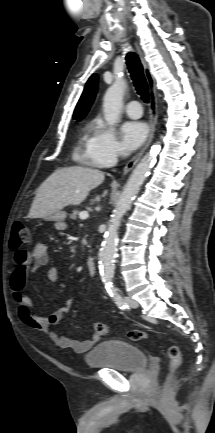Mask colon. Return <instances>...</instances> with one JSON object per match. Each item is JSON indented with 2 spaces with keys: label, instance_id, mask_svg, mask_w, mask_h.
<instances>
[{
  "label": "colon",
  "instance_id": "5ec220e1",
  "mask_svg": "<svg viewBox=\"0 0 215 433\" xmlns=\"http://www.w3.org/2000/svg\"><path fill=\"white\" fill-rule=\"evenodd\" d=\"M31 240V234L29 228L22 222H15L12 227L10 246L13 249H18ZM94 329L100 336L109 333V328L102 322H96ZM128 337L132 340L139 341L146 337V334L141 330H131L128 332ZM167 356L169 359V371L167 380H170L178 371L181 365L180 350L177 346L172 345L167 350Z\"/></svg>",
  "mask_w": 215,
  "mask_h": 433
}]
</instances>
